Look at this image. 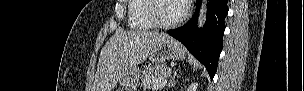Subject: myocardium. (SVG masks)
<instances>
[{
    "instance_id": "obj_1",
    "label": "myocardium",
    "mask_w": 304,
    "mask_h": 91,
    "mask_svg": "<svg viewBox=\"0 0 304 91\" xmlns=\"http://www.w3.org/2000/svg\"><path fill=\"white\" fill-rule=\"evenodd\" d=\"M158 1L161 0H148L147 1V7H146V13L149 18V20L153 23L154 27L159 28V29H170L174 28L178 25H180L187 17L188 15V7L186 4L183 3L184 5V10L181 14L180 17L175 19L174 21L171 22H163L158 19L156 15V4Z\"/></svg>"
}]
</instances>
